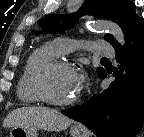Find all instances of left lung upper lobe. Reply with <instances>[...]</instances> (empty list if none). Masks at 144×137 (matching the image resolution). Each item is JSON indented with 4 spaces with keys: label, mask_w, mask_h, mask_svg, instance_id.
Listing matches in <instances>:
<instances>
[{
    "label": "left lung upper lobe",
    "mask_w": 144,
    "mask_h": 137,
    "mask_svg": "<svg viewBox=\"0 0 144 137\" xmlns=\"http://www.w3.org/2000/svg\"><path fill=\"white\" fill-rule=\"evenodd\" d=\"M92 14L97 18L110 19L116 22L127 39L128 35L143 21L135 13V4L129 0H86L81 9L76 14L66 16L51 15L38 21L39 25L46 33H62L69 27L68 23H73L78 17ZM67 21L68 23H64ZM105 39L113 45L119 46V43L110 34L105 35ZM105 73L103 68H99L98 74L101 78Z\"/></svg>",
    "instance_id": "left-lung-upper-lobe-1"
}]
</instances>
